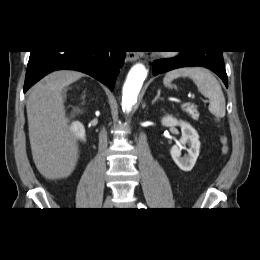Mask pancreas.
Segmentation results:
<instances>
[{
    "mask_svg": "<svg viewBox=\"0 0 260 260\" xmlns=\"http://www.w3.org/2000/svg\"><path fill=\"white\" fill-rule=\"evenodd\" d=\"M183 111L191 116L193 120L199 119V113L195 105H186L182 107Z\"/></svg>",
    "mask_w": 260,
    "mask_h": 260,
    "instance_id": "obj_1",
    "label": "pancreas"
}]
</instances>
